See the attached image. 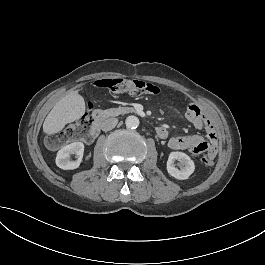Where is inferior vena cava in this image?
<instances>
[{
	"mask_svg": "<svg viewBox=\"0 0 265 265\" xmlns=\"http://www.w3.org/2000/svg\"><path fill=\"white\" fill-rule=\"evenodd\" d=\"M117 124H118L117 118H108L102 123V130L110 131L113 128H115Z\"/></svg>",
	"mask_w": 265,
	"mask_h": 265,
	"instance_id": "1",
	"label": "inferior vena cava"
}]
</instances>
